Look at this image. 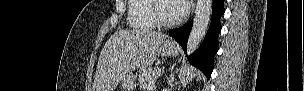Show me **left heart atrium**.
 <instances>
[{
    "label": "left heart atrium",
    "instance_id": "39dd6f15",
    "mask_svg": "<svg viewBox=\"0 0 304 91\" xmlns=\"http://www.w3.org/2000/svg\"><path fill=\"white\" fill-rule=\"evenodd\" d=\"M177 2L179 4V9H180L181 15L185 14L187 12L188 8H189L190 1H188V0H178Z\"/></svg>",
    "mask_w": 304,
    "mask_h": 91
}]
</instances>
